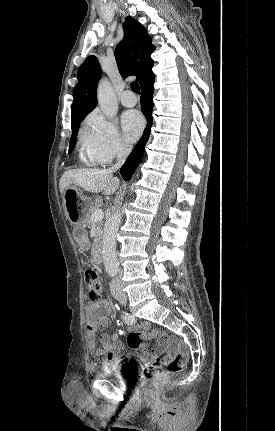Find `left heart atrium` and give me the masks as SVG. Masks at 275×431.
<instances>
[{"instance_id":"39dd6f15","label":"left heart atrium","mask_w":275,"mask_h":431,"mask_svg":"<svg viewBox=\"0 0 275 431\" xmlns=\"http://www.w3.org/2000/svg\"><path fill=\"white\" fill-rule=\"evenodd\" d=\"M121 122L126 139L131 142L139 138L145 126L143 116L136 110L126 111Z\"/></svg>"}]
</instances>
